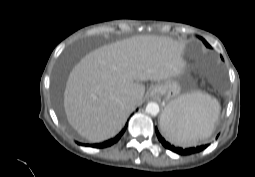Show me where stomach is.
I'll list each match as a JSON object with an SVG mask.
<instances>
[{"label":"stomach","mask_w":255,"mask_h":177,"mask_svg":"<svg viewBox=\"0 0 255 177\" xmlns=\"http://www.w3.org/2000/svg\"><path fill=\"white\" fill-rule=\"evenodd\" d=\"M181 86L172 78L165 80L164 82H158L157 84L153 85L150 90V95L152 97H161L165 96L167 99L177 98L180 95ZM170 106L169 104L166 106L162 117H161V124L165 120L166 114L169 112Z\"/></svg>","instance_id":"obj_1"}]
</instances>
